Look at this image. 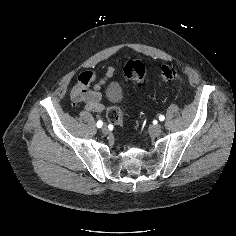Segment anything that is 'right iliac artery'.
<instances>
[{
    "label": "right iliac artery",
    "instance_id": "obj_1",
    "mask_svg": "<svg viewBox=\"0 0 236 236\" xmlns=\"http://www.w3.org/2000/svg\"><path fill=\"white\" fill-rule=\"evenodd\" d=\"M102 125H103V122H102L101 120H99V121L97 122V124H96V126H97L98 128H101Z\"/></svg>",
    "mask_w": 236,
    "mask_h": 236
}]
</instances>
